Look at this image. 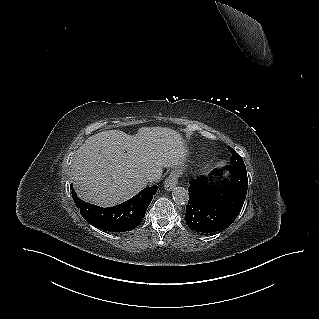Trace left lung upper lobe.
<instances>
[{"label":"left lung upper lobe","instance_id":"left-lung-upper-lobe-1","mask_svg":"<svg viewBox=\"0 0 319 319\" xmlns=\"http://www.w3.org/2000/svg\"><path fill=\"white\" fill-rule=\"evenodd\" d=\"M227 148L230 151V153L232 154V156L230 158V163L233 165L245 166L241 156H239V154H237L236 151L233 150L231 147H227Z\"/></svg>","mask_w":319,"mask_h":319}]
</instances>
